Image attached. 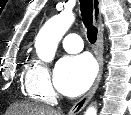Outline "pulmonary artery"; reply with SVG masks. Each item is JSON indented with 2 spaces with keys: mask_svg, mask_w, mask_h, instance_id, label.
<instances>
[{
  "mask_svg": "<svg viewBox=\"0 0 131 115\" xmlns=\"http://www.w3.org/2000/svg\"><path fill=\"white\" fill-rule=\"evenodd\" d=\"M64 49L69 53H77L83 49V42L79 35L71 33L62 40Z\"/></svg>",
  "mask_w": 131,
  "mask_h": 115,
  "instance_id": "e3ab8cb5",
  "label": "pulmonary artery"
}]
</instances>
